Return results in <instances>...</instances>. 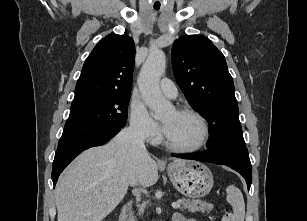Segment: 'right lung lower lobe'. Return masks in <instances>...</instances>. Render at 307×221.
<instances>
[{"label": "right lung lower lobe", "instance_id": "98d812e1", "mask_svg": "<svg viewBox=\"0 0 307 221\" xmlns=\"http://www.w3.org/2000/svg\"><path fill=\"white\" fill-rule=\"evenodd\" d=\"M120 129L121 128L86 136L63 145H58L52 165V181L54 186L56 185L60 173L78 154L90 147L105 144L114 137Z\"/></svg>", "mask_w": 307, "mask_h": 221}]
</instances>
